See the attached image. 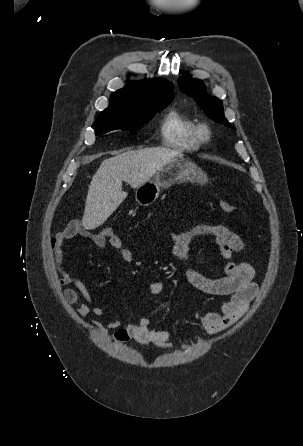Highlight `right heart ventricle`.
I'll return each mask as SVG.
<instances>
[{
	"label": "right heart ventricle",
	"mask_w": 303,
	"mask_h": 446,
	"mask_svg": "<svg viewBox=\"0 0 303 446\" xmlns=\"http://www.w3.org/2000/svg\"><path fill=\"white\" fill-rule=\"evenodd\" d=\"M160 138L163 145L178 150H197L201 145L196 121L178 109H171L164 115Z\"/></svg>",
	"instance_id": "e07e8e85"
}]
</instances>
